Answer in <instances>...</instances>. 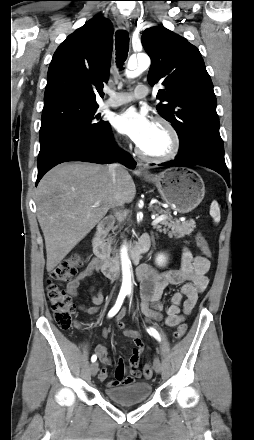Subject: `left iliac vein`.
I'll return each instance as SVG.
<instances>
[{
  "label": "left iliac vein",
  "mask_w": 254,
  "mask_h": 440,
  "mask_svg": "<svg viewBox=\"0 0 254 440\" xmlns=\"http://www.w3.org/2000/svg\"><path fill=\"white\" fill-rule=\"evenodd\" d=\"M153 369L158 374L162 372V364H161V361L158 357L154 358Z\"/></svg>",
  "instance_id": "left-iliac-vein-1"
}]
</instances>
